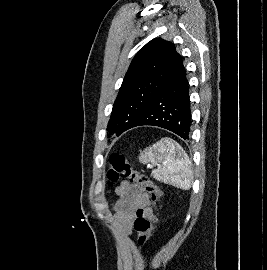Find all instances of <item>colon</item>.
I'll use <instances>...</instances> for the list:
<instances>
[{"mask_svg": "<svg viewBox=\"0 0 267 270\" xmlns=\"http://www.w3.org/2000/svg\"><path fill=\"white\" fill-rule=\"evenodd\" d=\"M108 163L107 179L110 184L119 180L128 181L142 188L154 204L160 201L159 188L147 176L134 169L124 155L113 153L110 155ZM134 230L139 246H145L152 237L153 223L150 218L139 213L134 222Z\"/></svg>", "mask_w": 267, "mask_h": 270, "instance_id": "5ec220e1", "label": "colon"}]
</instances>
